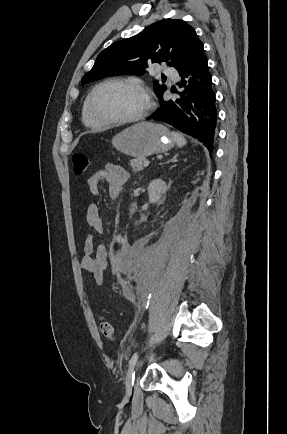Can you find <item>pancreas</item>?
<instances>
[{
	"mask_svg": "<svg viewBox=\"0 0 287 434\" xmlns=\"http://www.w3.org/2000/svg\"><path fill=\"white\" fill-rule=\"evenodd\" d=\"M144 160H145V157H139V158H136V159H132L130 161L129 165L132 168V171L134 173L139 172V171H141L143 169L142 165H143Z\"/></svg>",
	"mask_w": 287,
	"mask_h": 434,
	"instance_id": "obj_1",
	"label": "pancreas"
}]
</instances>
